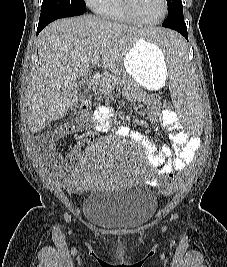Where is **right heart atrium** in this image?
I'll return each instance as SVG.
<instances>
[{
	"label": "right heart atrium",
	"mask_w": 227,
	"mask_h": 267,
	"mask_svg": "<svg viewBox=\"0 0 227 267\" xmlns=\"http://www.w3.org/2000/svg\"><path fill=\"white\" fill-rule=\"evenodd\" d=\"M110 0H84L85 4L96 13H100Z\"/></svg>",
	"instance_id": "d8ad5b80"
}]
</instances>
